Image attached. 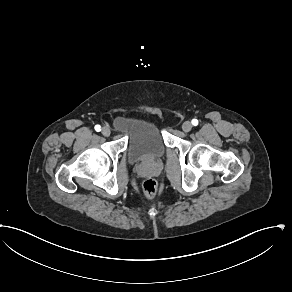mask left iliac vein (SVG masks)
I'll use <instances>...</instances> for the list:
<instances>
[{"label":"left iliac vein","mask_w":292,"mask_h":292,"mask_svg":"<svg viewBox=\"0 0 292 292\" xmlns=\"http://www.w3.org/2000/svg\"><path fill=\"white\" fill-rule=\"evenodd\" d=\"M192 123L190 122V121H185L183 124H182V130L184 131V132H189V131H191V129H192Z\"/></svg>","instance_id":"1"}]
</instances>
